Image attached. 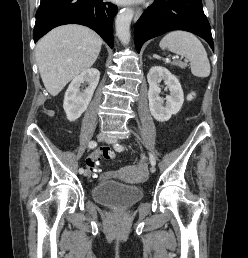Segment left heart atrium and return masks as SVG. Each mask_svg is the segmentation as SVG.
Returning a JSON list of instances; mask_svg holds the SVG:
<instances>
[{"instance_id": "1", "label": "left heart atrium", "mask_w": 248, "mask_h": 258, "mask_svg": "<svg viewBox=\"0 0 248 258\" xmlns=\"http://www.w3.org/2000/svg\"><path fill=\"white\" fill-rule=\"evenodd\" d=\"M115 1H117L119 3H131V2H135L137 0H115Z\"/></svg>"}]
</instances>
